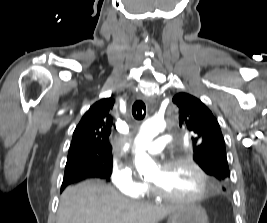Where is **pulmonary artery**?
I'll use <instances>...</instances> for the list:
<instances>
[{
    "mask_svg": "<svg viewBox=\"0 0 267 223\" xmlns=\"http://www.w3.org/2000/svg\"><path fill=\"white\" fill-rule=\"evenodd\" d=\"M171 139L170 135H160L153 144L146 147V151L150 154L160 153Z\"/></svg>",
    "mask_w": 267,
    "mask_h": 223,
    "instance_id": "pulmonary-artery-1",
    "label": "pulmonary artery"
}]
</instances>
